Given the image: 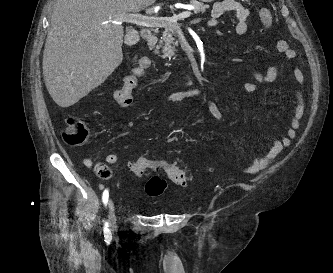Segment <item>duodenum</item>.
<instances>
[{
  "instance_id": "duodenum-1",
  "label": "duodenum",
  "mask_w": 333,
  "mask_h": 273,
  "mask_svg": "<svg viewBox=\"0 0 333 273\" xmlns=\"http://www.w3.org/2000/svg\"><path fill=\"white\" fill-rule=\"evenodd\" d=\"M140 35L143 40L153 44L156 42V37L154 36L153 32L150 29H142L140 31Z\"/></svg>"
}]
</instances>
